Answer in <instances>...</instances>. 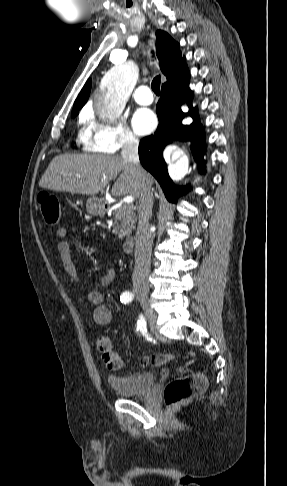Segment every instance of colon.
I'll list each match as a JSON object with an SVG mask.
<instances>
[{
    "mask_svg": "<svg viewBox=\"0 0 287 486\" xmlns=\"http://www.w3.org/2000/svg\"><path fill=\"white\" fill-rule=\"evenodd\" d=\"M38 203L44 221L49 225H56L60 221L61 211L57 197L41 192ZM96 347L101 354L103 363L110 370L122 368L121 356L114 350L108 336L101 335L96 340ZM174 358L170 353H157L141 359L143 366H162ZM206 387L205 378L200 374L176 378L169 381L164 388V402L169 409H174L187 401L194 394L202 392Z\"/></svg>",
    "mask_w": 287,
    "mask_h": 486,
    "instance_id": "5ec220e1",
    "label": "colon"
}]
</instances>
